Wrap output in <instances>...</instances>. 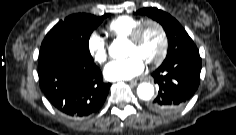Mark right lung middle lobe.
I'll return each instance as SVG.
<instances>
[{"label": "right lung middle lobe", "instance_id": "1", "mask_svg": "<svg viewBox=\"0 0 236 135\" xmlns=\"http://www.w3.org/2000/svg\"><path fill=\"white\" fill-rule=\"evenodd\" d=\"M90 14H74L58 22L45 36L40 52L39 63L54 60L66 54L76 53L93 61L89 52V38L104 18Z\"/></svg>", "mask_w": 236, "mask_h": 135}]
</instances>
